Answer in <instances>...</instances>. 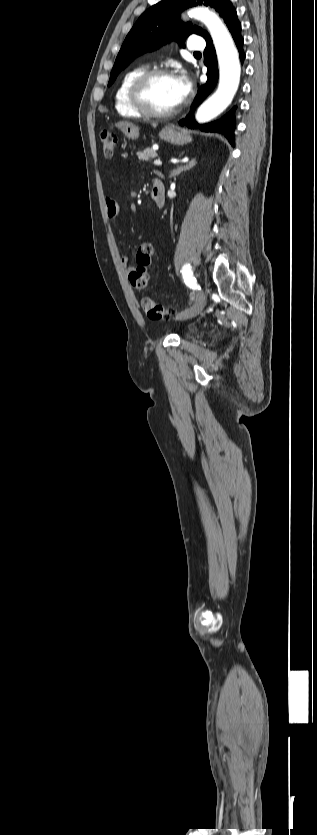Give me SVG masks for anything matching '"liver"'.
<instances>
[{
  "instance_id": "liver-1",
  "label": "liver",
  "mask_w": 317,
  "mask_h": 835,
  "mask_svg": "<svg viewBox=\"0 0 317 835\" xmlns=\"http://www.w3.org/2000/svg\"><path fill=\"white\" fill-rule=\"evenodd\" d=\"M152 126H153V127H156L157 125H156V124H152Z\"/></svg>"
}]
</instances>
